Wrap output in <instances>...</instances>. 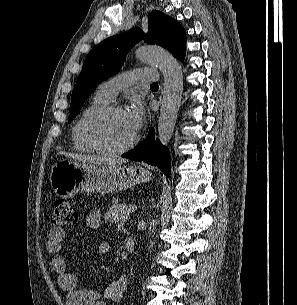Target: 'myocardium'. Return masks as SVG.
<instances>
[{
	"label": "myocardium",
	"mask_w": 297,
	"mask_h": 305,
	"mask_svg": "<svg viewBox=\"0 0 297 305\" xmlns=\"http://www.w3.org/2000/svg\"><path fill=\"white\" fill-rule=\"evenodd\" d=\"M115 112H123V109L116 105V104H107L105 106L99 107L89 113L81 122L80 124V136L83 140V142L92 148L94 151L105 154V155H119L123 154L130 149H132L137 141L138 136L135 133L133 138L126 143L125 145L117 148H109L101 144L99 141H97L90 133V126L97 121L98 119L105 117L109 114L115 113Z\"/></svg>",
	"instance_id": "1"
}]
</instances>
